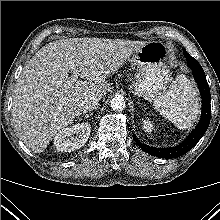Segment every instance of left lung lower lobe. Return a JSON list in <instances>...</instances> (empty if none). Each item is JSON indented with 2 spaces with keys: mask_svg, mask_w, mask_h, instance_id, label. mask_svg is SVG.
I'll use <instances>...</instances> for the list:
<instances>
[{
  "mask_svg": "<svg viewBox=\"0 0 220 220\" xmlns=\"http://www.w3.org/2000/svg\"><path fill=\"white\" fill-rule=\"evenodd\" d=\"M188 66L193 72L202 98V114L197 127L179 145L172 148H155L142 144L133 134L136 144L145 152L160 158H176L186 154L191 150L205 134L211 119V95L209 85L202 66L190 56L186 50L183 51Z\"/></svg>",
  "mask_w": 220,
  "mask_h": 220,
  "instance_id": "1",
  "label": "left lung lower lobe"
}]
</instances>
